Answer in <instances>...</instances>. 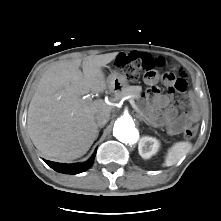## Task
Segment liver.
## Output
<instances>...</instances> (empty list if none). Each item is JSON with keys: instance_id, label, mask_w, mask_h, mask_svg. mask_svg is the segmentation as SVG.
Returning a JSON list of instances; mask_svg holds the SVG:
<instances>
[{"instance_id": "obj_1", "label": "liver", "mask_w": 221, "mask_h": 221, "mask_svg": "<svg viewBox=\"0 0 221 221\" xmlns=\"http://www.w3.org/2000/svg\"><path fill=\"white\" fill-rule=\"evenodd\" d=\"M117 52L87 56L81 61H57L42 74L28 108L30 138L43 156L67 162L90 149L96 139L98 113H111L113 107L103 100L82 96L101 93L107 88L102 67ZM82 63L83 72L79 69Z\"/></svg>"}]
</instances>
